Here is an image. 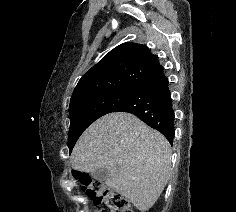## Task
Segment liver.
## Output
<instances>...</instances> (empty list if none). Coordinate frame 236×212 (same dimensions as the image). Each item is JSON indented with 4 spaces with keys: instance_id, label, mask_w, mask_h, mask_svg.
I'll list each match as a JSON object with an SVG mask.
<instances>
[{
    "instance_id": "6515ba94",
    "label": "liver",
    "mask_w": 236,
    "mask_h": 212,
    "mask_svg": "<svg viewBox=\"0 0 236 212\" xmlns=\"http://www.w3.org/2000/svg\"><path fill=\"white\" fill-rule=\"evenodd\" d=\"M171 147L158 131L130 113H110L78 139L72 167L81 172L106 168V185L139 211L150 209L163 192L171 166Z\"/></svg>"
}]
</instances>
